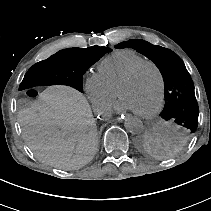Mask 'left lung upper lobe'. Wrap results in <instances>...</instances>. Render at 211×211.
<instances>
[{"mask_svg": "<svg viewBox=\"0 0 211 211\" xmlns=\"http://www.w3.org/2000/svg\"><path fill=\"white\" fill-rule=\"evenodd\" d=\"M133 48L152 60L159 68L165 85V105L160 116L179 125L183 136L198 126V104L192 78L184 62L173 51L141 39L119 43L115 48Z\"/></svg>", "mask_w": 211, "mask_h": 211, "instance_id": "left-lung-upper-lobe-1", "label": "left lung upper lobe"}]
</instances>
